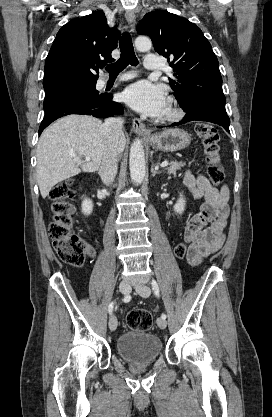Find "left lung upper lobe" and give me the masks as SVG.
<instances>
[{
    "instance_id": "5c2ea615",
    "label": "left lung upper lobe",
    "mask_w": 272,
    "mask_h": 417,
    "mask_svg": "<svg viewBox=\"0 0 272 417\" xmlns=\"http://www.w3.org/2000/svg\"><path fill=\"white\" fill-rule=\"evenodd\" d=\"M149 35L155 50L173 58L174 80L170 86L183 109L198 107L226 113L219 63L201 29L185 18L165 10L151 11L137 27Z\"/></svg>"
}]
</instances>
